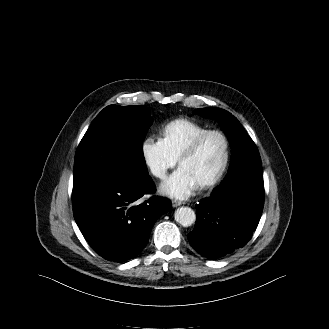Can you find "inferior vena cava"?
Returning a JSON list of instances; mask_svg holds the SVG:
<instances>
[{"label":"inferior vena cava","mask_w":329,"mask_h":329,"mask_svg":"<svg viewBox=\"0 0 329 329\" xmlns=\"http://www.w3.org/2000/svg\"><path fill=\"white\" fill-rule=\"evenodd\" d=\"M158 173H162V171H161V170H159V171H158Z\"/></svg>","instance_id":"inferior-vena-cava-1"}]
</instances>
